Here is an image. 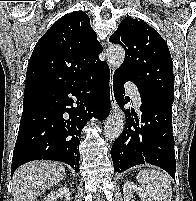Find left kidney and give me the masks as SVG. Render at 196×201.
Segmentation results:
<instances>
[{
	"label": "left kidney",
	"mask_w": 196,
	"mask_h": 201,
	"mask_svg": "<svg viewBox=\"0 0 196 201\" xmlns=\"http://www.w3.org/2000/svg\"><path fill=\"white\" fill-rule=\"evenodd\" d=\"M137 193L142 201H152L147 194H145L137 185L133 182L127 181L123 186V198L124 201H130L131 196Z\"/></svg>",
	"instance_id": "1"
}]
</instances>
